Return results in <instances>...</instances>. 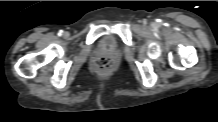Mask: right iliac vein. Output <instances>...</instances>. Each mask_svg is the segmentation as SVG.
Returning a JSON list of instances; mask_svg holds the SVG:
<instances>
[{
  "instance_id": "63e3f726",
  "label": "right iliac vein",
  "mask_w": 218,
  "mask_h": 122,
  "mask_svg": "<svg viewBox=\"0 0 218 122\" xmlns=\"http://www.w3.org/2000/svg\"><path fill=\"white\" fill-rule=\"evenodd\" d=\"M64 35H65V36H67V35H68V33H67V32H65V33H64Z\"/></svg>"
}]
</instances>
